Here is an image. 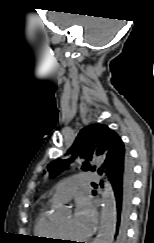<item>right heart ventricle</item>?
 Returning <instances> with one entry per match:
<instances>
[{
  "label": "right heart ventricle",
  "instance_id": "e07e8e85",
  "mask_svg": "<svg viewBox=\"0 0 154 243\" xmlns=\"http://www.w3.org/2000/svg\"><path fill=\"white\" fill-rule=\"evenodd\" d=\"M50 202L54 203L53 201ZM55 225L56 223L49 218L48 206H46L40 210L36 217L34 225L35 234L38 237L49 240H56L58 239V236L56 233Z\"/></svg>",
  "mask_w": 154,
  "mask_h": 243
}]
</instances>
